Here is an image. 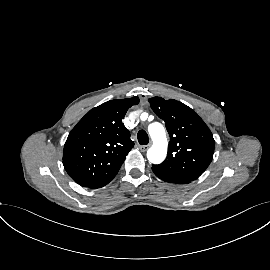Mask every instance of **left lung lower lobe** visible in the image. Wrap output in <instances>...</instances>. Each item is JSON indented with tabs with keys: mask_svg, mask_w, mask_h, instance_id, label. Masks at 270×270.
Instances as JSON below:
<instances>
[{
	"mask_svg": "<svg viewBox=\"0 0 270 270\" xmlns=\"http://www.w3.org/2000/svg\"><path fill=\"white\" fill-rule=\"evenodd\" d=\"M152 170L158 178H160L161 180L166 181V182L176 183V184H187V183L191 182V180H189L183 176H180V175L161 171V170H158L154 167H152Z\"/></svg>",
	"mask_w": 270,
	"mask_h": 270,
	"instance_id": "left-lung-lower-lobe-1",
	"label": "left lung lower lobe"
}]
</instances>
